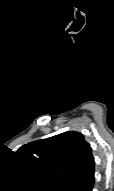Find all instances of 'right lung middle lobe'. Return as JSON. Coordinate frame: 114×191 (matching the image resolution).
<instances>
[{
  "label": "right lung middle lobe",
  "mask_w": 114,
  "mask_h": 191,
  "mask_svg": "<svg viewBox=\"0 0 114 191\" xmlns=\"http://www.w3.org/2000/svg\"><path fill=\"white\" fill-rule=\"evenodd\" d=\"M45 190H48V191H57L58 189L57 188H46Z\"/></svg>",
  "instance_id": "dd1d6c3e"
}]
</instances>
